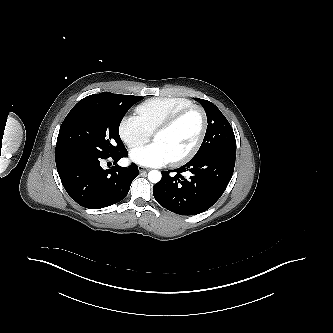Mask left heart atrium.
Here are the masks:
<instances>
[{
    "label": "left heart atrium",
    "mask_w": 333,
    "mask_h": 333,
    "mask_svg": "<svg viewBox=\"0 0 333 333\" xmlns=\"http://www.w3.org/2000/svg\"><path fill=\"white\" fill-rule=\"evenodd\" d=\"M130 160L142 166L160 167L169 163L171 158L159 143L154 142L132 150Z\"/></svg>",
    "instance_id": "39dd6f15"
}]
</instances>
